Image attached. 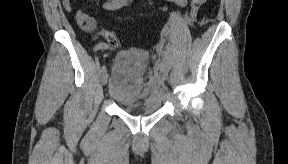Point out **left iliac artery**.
Returning a JSON list of instances; mask_svg holds the SVG:
<instances>
[{
	"mask_svg": "<svg viewBox=\"0 0 288 164\" xmlns=\"http://www.w3.org/2000/svg\"><path fill=\"white\" fill-rule=\"evenodd\" d=\"M162 60H163V61H166V60H167V55H166L165 53L162 55Z\"/></svg>",
	"mask_w": 288,
	"mask_h": 164,
	"instance_id": "obj_1",
	"label": "left iliac artery"
}]
</instances>
